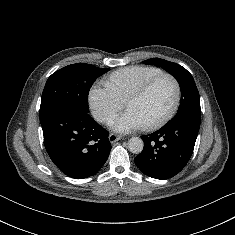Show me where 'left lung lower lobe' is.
<instances>
[{
  "label": "left lung lower lobe",
  "mask_w": 235,
  "mask_h": 235,
  "mask_svg": "<svg viewBox=\"0 0 235 235\" xmlns=\"http://www.w3.org/2000/svg\"><path fill=\"white\" fill-rule=\"evenodd\" d=\"M200 120L193 116L184 117L141 136L144 148L134 159L136 166L155 179H168L178 174L193 153Z\"/></svg>",
  "instance_id": "1"
}]
</instances>
